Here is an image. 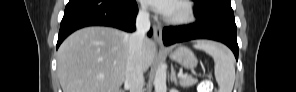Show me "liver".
Instances as JSON below:
<instances>
[{
	"mask_svg": "<svg viewBox=\"0 0 296 92\" xmlns=\"http://www.w3.org/2000/svg\"><path fill=\"white\" fill-rule=\"evenodd\" d=\"M129 37L110 27H86L59 47L57 75L63 92H119L126 77ZM155 43L145 38L143 71L151 66Z\"/></svg>",
	"mask_w": 296,
	"mask_h": 92,
	"instance_id": "obj_1",
	"label": "liver"
}]
</instances>
